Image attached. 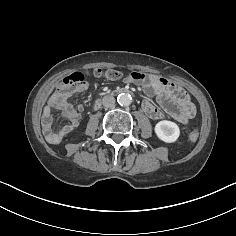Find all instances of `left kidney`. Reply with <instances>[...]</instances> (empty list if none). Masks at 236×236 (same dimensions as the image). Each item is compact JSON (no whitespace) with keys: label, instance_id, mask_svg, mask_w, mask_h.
Listing matches in <instances>:
<instances>
[{"label":"left kidney","instance_id":"left-kidney-1","mask_svg":"<svg viewBox=\"0 0 236 236\" xmlns=\"http://www.w3.org/2000/svg\"><path fill=\"white\" fill-rule=\"evenodd\" d=\"M155 133L160 140L173 143L179 138L180 130L176 123L163 120L156 124Z\"/></svg>","mask_w":236,"mask_h":236}]
</instances>
